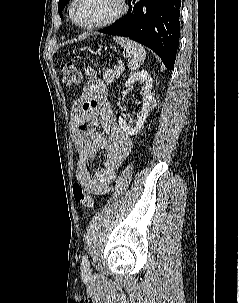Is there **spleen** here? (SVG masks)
<instances>
[{
  "label": "spleen",
  "instance_id": "3e777b00",
  "mask_svg": "<svg viewBox=\"0 0 239 303\" xmlns=\"http://www.w3.org/2000/svg\"><path fill=\"white\" fill-rule=\"evenodd\" d=\"M113 39L128 53V68L131 71L140 68L146 58L145 48L128 38L116 36Z\"/></svg>",
  "mask_w": 239,
  "mask_h": 303
}]
</instances>
